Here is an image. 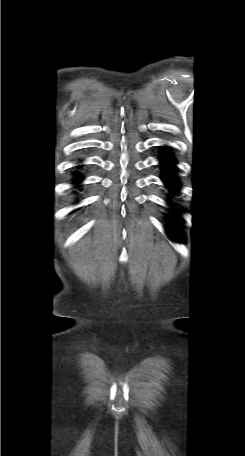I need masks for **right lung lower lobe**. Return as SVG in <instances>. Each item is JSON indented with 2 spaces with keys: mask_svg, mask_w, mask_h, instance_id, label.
<instances>
[{
  "mask_svg": "<svg viewBox=\"0 0 245 456\" xmlns=\"http://www.w3.org/2000/svg\"><path fill=\"white\" fill-rule=\"evenodd\" d=\"M76 180H77V181H80V180H81V177H78Z\"/></svg>",
  "mask_w": 245,
  "mask_h": 456,
  "instance_id": "98d812e1",
  "label": "right lung lower lobe"
}]
</instances>
